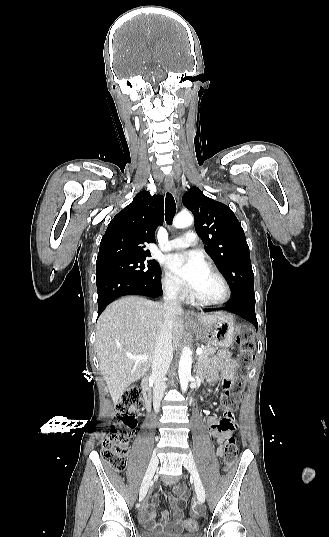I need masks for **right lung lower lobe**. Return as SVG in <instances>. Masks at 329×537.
Segmentation results:
<instances>
[{
    "label": "right lung lower lobe",
    "instance_id": "right-lung-lower-lobe-1",
    "mask_svg": "<svg viewBox=\"0 0 329 537\" xmlns=\"http://www.w3.org/2000/svg\"><path fill=\"white\" fill-rule=\"evenodd\" d=\"M98 289V316L113 300L125 295H143L159 298L162 295L161 273L157 281L139 279L115 273L96 275Z\"/></svg>",
    "mask_w": 329,
    "mask_h": 537
}]
</instances>
